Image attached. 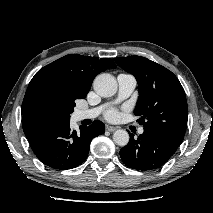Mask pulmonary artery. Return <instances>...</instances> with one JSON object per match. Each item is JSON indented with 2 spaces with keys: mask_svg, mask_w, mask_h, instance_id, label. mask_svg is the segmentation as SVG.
<instances>
[{
  "mask_svg": "<svg viewBox=\"0 0 213 213\" xmlns=\"http://www.w3.org/2000/svg\"><path fill=\"white\" fill-rule=\"evenodd\" d=\"M117 82H118L117 101H121L128 98L133 93L136 87V79L134 78V76L127 73L119 74L117 76ZM104 107L105 106H100L87 110H79L76 112L75 118L78 121L95 118L101 113ZM138 132L139 134H142L144 132V129L139 128Z\"/></svg>",
  "mask_w": 213,
  "mask_h": 213,
  "instance_id": "1",
  "label": "pulmonary artery"
}]
</instances>
